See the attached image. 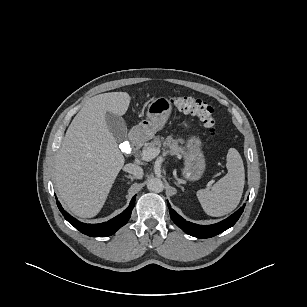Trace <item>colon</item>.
<instances>
[{"label": "colon", "mask_w": 307, "mask_h": 307, "mask_svg": "<svg viewBox=\"0 0 307 307\" xmlns=\"http://www.w3.org/2000/svg\"><path fill=\"white\" fill-rule=\"evenodd\" d=\"M172 103L180 111L199 118L208 129L210 135H215L216 118L214 109L210 105L200 99L189 96L174 97Z\"/></svg>", "instance_id": "5ec220e1"}]
</instances>
